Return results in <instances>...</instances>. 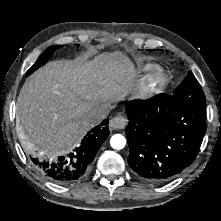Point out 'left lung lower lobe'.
<instances>
[{
    "label": "left lung lower lobe",
    "instance_id": "obj_1",
    "mask_svg": "<svg viewBox=\"0 0 221 221\" xmlns=\"http://www.w3.org/2000/svg\"><path fill=\"white\" fill-rule=\"evenodd\" d=\"M130 168L140 178L163 183L195 160L206 132V103L156 95L126 105Z\"/></svg>",
    "mask_w": 221,
    "mask_h": 221
}]
</instances>
